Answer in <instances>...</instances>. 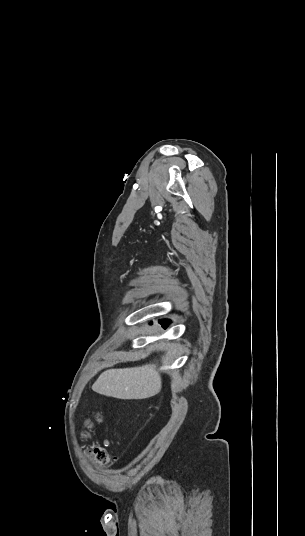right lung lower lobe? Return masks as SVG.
I'll list each match as a JSON object with an SVG mask.
<instances>
[{"label":"right lung lower lobe","mask_w":305,"mask_h":536,"mask_svg":"<svg viewBox=\"0 0 305 536\" xmlns=\"http://www.w3.org/2000/svg\"><path fill=\"white\" fill-rule=\"evenodd\" d=\"M160 323L163 325L164 328H166L167 324L169 323V320L160 321Z\"/></svg>","instance_id":"obj_1"}]
</instances>
